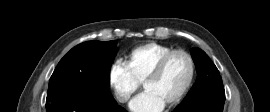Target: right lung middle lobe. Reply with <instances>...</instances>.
I'll use <instances>...</instances> for the list:
<instances>
[{
	"mask_svg": "<svg viewBox=\"0 0 270 112\" xmlns=\"http://www.w3.org/2000/svg\"><path fill=\"white\" fill-rule=\"evenodd\" d=\"M116 45V41H88L72 48L50 78L47 99L67 89H77L102 101L112 100L108 88Z\"/></svg>",
	"mask_w": 270,
	"mask_h": 112,
	"instance_id": "1",
	"label": "right lung middle lobe"
}]
</instances>
